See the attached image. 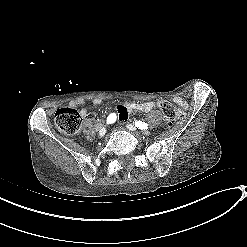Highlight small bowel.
<instances>
[{
    "label": "small bowel",
    "instance_id": "c3829d8e",
    "mask_svg": "<svg viewBox=\"0 0 247 247\" xmlns=\"http://www.w3.org/2000/svg\"><path fill=\"white\" fill-rule=\"evenodd\" d=\"M175 102L178 105L184 106V109L186 108V103L182 98H176ZM84 103L83 99H77L75 101L71 102V106H81ZM92 103L94 105H99L101 103V100L98 98L93 99ZM156 108V103L152 101L148 102H142V103H121L116 107V114L119 119V121H126L129 114L132 112H150ZM81 115L82 117H87L88 111L86 108L81 109Z\"/></svg>",
    "mask_w": 247,
    "mask_h": 247
}]
</instances>
